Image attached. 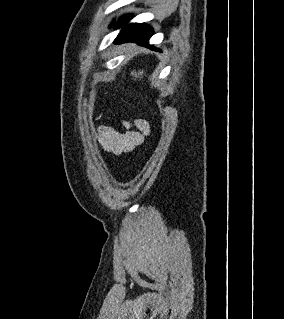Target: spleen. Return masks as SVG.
Returning a JSON list of instances; mask_svg holds the SVG:
<instances>
[{
    "instance_id": "spleen-1",
    "label": "spleen",
    "mask_w": 284,
    "mask_h": 319,
    "mask_svg": "<svg viewBox=\"0 0 284 319\" xmlns=\"http://www.w3.org/2000/svg\"><path fill=\"white\" fill-rule=\"evenodd\" d=\"M142 73H143V71L140 72V75H142ZM131 74L134 75L135 77H138V76H139V74H138V76H137V73H136V72H132Z\"/></svg>"
}]
</instances>
